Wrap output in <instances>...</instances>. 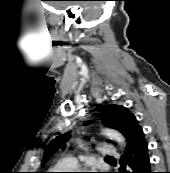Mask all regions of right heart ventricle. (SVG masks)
Masks as SVG:
<instances>
[{"instance_id": "obj_1", "label": "right heart ventricle", "mask_w": 170, "mask_h": 173, "mask_svg": "<svg viewBox=\"0 0 170 173\" xmlns=\"http://www.w3.org/2000/svg\"><path fill=\"white\" fill-rule=\"evenodd\" d=\"M70 160H71V159L63 158V159L59 162L58 167L61 168V169H72L74 166H72Z\"/></svg>"}]
</instances>
